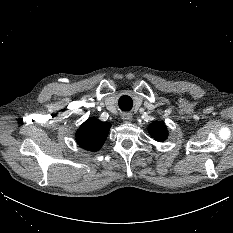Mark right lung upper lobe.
Returning a JSON list of instances; mask_svg holds the SVG:
<instances>
[{
  "label": "right lung upper lobe",
  "mask_w": 233,
  "mask_h": 233,
  "mask_svg": "<svg viewBox=\"0 0 233 233\" xmlns=\"http://www.w3.org/2000/svg\"><path fill=\"white\" fill-rule=\"evenodd\" d=\"M110 127L109 122H101L95 118H90L78 129L76 140L83 149L97 151L105 142Z\"/></svg>",
  "instance_id": "right-lung-upper-lobe-1"
}]
</instances>
